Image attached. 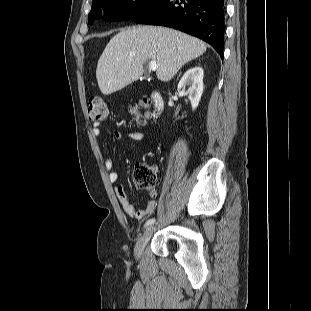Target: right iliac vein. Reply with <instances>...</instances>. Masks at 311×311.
Segmentation results:
<instances>
[{
	"label": "right iliac vein",
	"instance_id": "right-iliac-vein-1",
	"mask_svg": "<svg viewBox=\"0 0 311 311\" xmlns=\"http://www.w3.org/2000/svg\"><path fill=\"white\" fill-rule=\"evenodd\" d=\"M153 226H148L135 245V256L140 258L142 251L153 233Z\"/></svg>",
	"mask_w": 311,
	"mask_h": 311
}]
</instances>
